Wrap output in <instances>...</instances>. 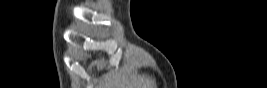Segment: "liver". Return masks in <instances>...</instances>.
I'll use <instances>...</instances> for the list:
<instances>
[{"instance_id": "obj_1", "label": "liver", "mask_w": 267, "mask_h": 88, "mask_svg": "<svg viewBox=\"0 0 267 88\" xmlns=\"http://www.w3.org/2000/svg\"><path fill=\"white\" fill-rule=\"evenodd\" d=\"M113 88H154L148 80L138 77V79L126 80L120 76L113 80Z\"/></svg>"}]
</instances>
